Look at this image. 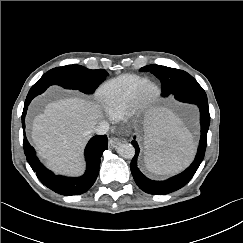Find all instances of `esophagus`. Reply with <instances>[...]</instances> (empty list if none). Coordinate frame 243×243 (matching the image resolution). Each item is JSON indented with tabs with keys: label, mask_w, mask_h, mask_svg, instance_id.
<instances>
[{
	"label": "esophagus",
	"mask_w": 243,
	"mask_h": 243,
	"mask_svg": "<svg viewBox=\"0 0 243 243\" xmlns=\"http://www.w3.org/2000/svg\"><path fill=\"white\" fill-rule=\"evenodd\" d=\"M121 142H123V139L122 138H118V137H111L109 139V146L111 148H115L117 147Z\"/></svg>",
	"instance_id": "1"
}]
</instances>
